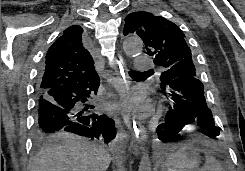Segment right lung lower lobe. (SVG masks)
I'll list each match as a JSON object with an SVG mask.
<instances>
[{
	"label": "right lung lower lobe",
	"instance_id": "1",
	"mask_svg": "<svg viewBox=\"0 0 245 171\" xmlns=\"http://www.w3.org/2000/svg\"><path fill=\"white\" fill-rule=\"evenodd\" d=\"M99 84L98 78L47 90L37 89L36 138L63 129L109 142L116 134L115 123L101 114L92 101Z\"/></svg>",
	"mask_w": 245,
	"mask_h": 171
}]
</instances>
